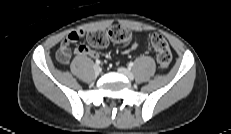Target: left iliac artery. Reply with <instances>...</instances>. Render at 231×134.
Returning a JSON list of instances; mask_svg holds the SVG:
<instances>
[{
	"label": "left iliac artery",
	"mask_w": 231,
	"mask_h": 134,
	"mask_svg": "<svg viewBox=\"0 0 231 134\" xmlns=\"http://www.w3.org/2000/svg\"><path fill=\"white\" fill-rule=\"evenodd\" d=\"M133 65H134V63H133V62H130V63L128 64V67L131 68V67H133Z\"/></svg>",
	"instance_id": "obj_1"
}]
</instances>
